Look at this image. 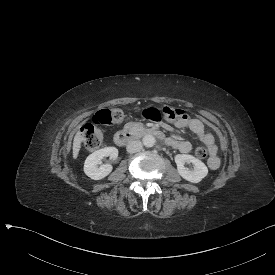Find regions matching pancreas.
Masks as SVG:
<instances>
[{"mask_svg": "<svg viewBox=\"0 0 275 275\" xmlns=\"http://www.w3.org/2000/svg\"><path fill=\"white\" fill-rule=\"evenodd\" d=\"M125 130L136 132L144 129V125L140 122H128L124 126Z\"/></svg>", "mask_w": 275, "mask_h": 275, "instance_id": "cf45deb5", "label": "pancreas"}]
</instances>
